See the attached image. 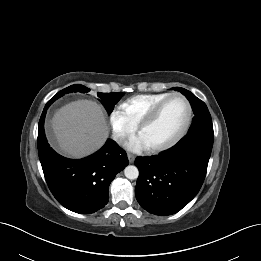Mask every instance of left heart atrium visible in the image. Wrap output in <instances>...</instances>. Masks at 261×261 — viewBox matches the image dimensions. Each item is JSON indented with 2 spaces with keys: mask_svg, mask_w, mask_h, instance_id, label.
Returning a JSON list of instances; mask_svg holds the SVG:
<instances>
[{
  "mask_svg": "<svg viewBox=\"0 0 261 261\" xmlns=\"http://www.w3.org/2000/svg\"><path fill=\"white\" fill-rule=\"evenodd\" d=\"M146 147L147 146L139 135L132 137L127 143V148L132 151H139Z\"/></svg>",
  "mask_w": 261,
  "mask_h": 261,
  "instance_id": "39dd6f15",
  "label": "left heart atrium"
}]
</instances>
